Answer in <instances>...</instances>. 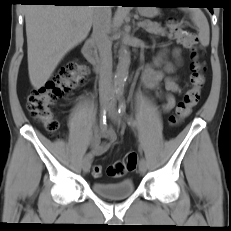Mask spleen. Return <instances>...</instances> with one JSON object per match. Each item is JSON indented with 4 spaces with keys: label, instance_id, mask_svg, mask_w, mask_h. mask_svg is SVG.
Listing matches in <instances>:
<instances>
[{
    "label": "spleen",
    "instance_id": "obj_1",
    "mask_svg": "<svg viewBox=\"0 0 231 231\" xmlns=\"http://www.w3.org/2000/svg\"><path fill=\"white\" fill-rule=\"evenodd\" d=\"M191 18L198 28V39L203 46L209 45L210 30L208 21L200 9H191Z\"/></svg>",
    "mask_w": 231,
    "mask_h": 231
}]
</instances>
